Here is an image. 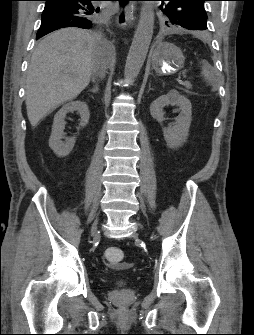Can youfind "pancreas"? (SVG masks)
<instances>
[{"label":"pancreas","mask_w":254,"mask_h":335,"mask_svg":"<svg viewBox=\"0 0 254 335\" xmlns=\"http://www.w3.org/2000/svg\"><path fill=\"white\" fill-rule=\"evenodd\" d=\"M183 85L185 86V92L186 93H188V94H192V92L191 91H189L191 88H192V85H191V83L190 82H188V81H186V82H184L183 83Z\"/></svg>","instance_id":"cf45deb5"}]
</instances>
